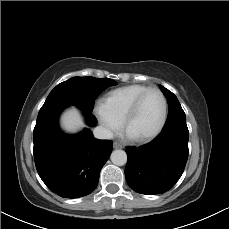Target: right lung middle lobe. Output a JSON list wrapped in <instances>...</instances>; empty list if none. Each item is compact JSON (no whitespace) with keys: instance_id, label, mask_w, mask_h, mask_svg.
Listing matches in <instances>:
<instances>
[{"instance_id":"dd1d6c3e","label":"right lung middle lobe","mask_w":229,"mask_h":229,"mask_svg":"<svg viewBox=\"0 0 229 229\" xmlns=\"http://www.w3.org/2000/svg\"><path fill=\"white\" fill-rule=\"evenodd\" d=\"M117 85L109 78L73 77L58 84L48 95L40 110L68 105H78L92 111L95 99L110 86Z\"/></svg>"}]
</instances>
